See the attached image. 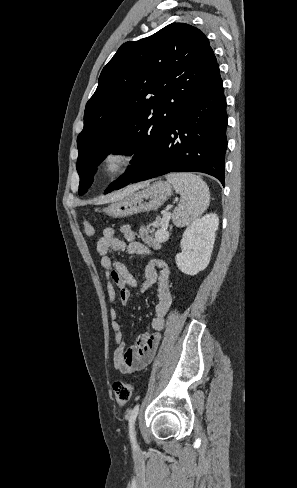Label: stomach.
Returning <instances> with one entry per match:
<instances>
[{
  "label": "stomach",
  "instance_id": "0dacf381",
  "mask_svg": "<svg viewBox=\"0 0 297 488\" xmlns=\"http://www.w3.org/2000/svg\"><path fill=\"white\" fill-rule=\"evenodd\" d=\"M172 185L168 181H157L145 188L126 194L115 200L103 212L112 218L129 217L137 213L159 208L171 195Z\"/></svg>",
  "mask_w": 297,
  "mask_h": 488
}]
</instances>
